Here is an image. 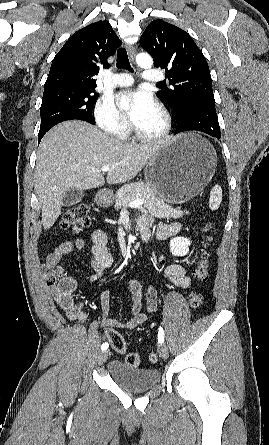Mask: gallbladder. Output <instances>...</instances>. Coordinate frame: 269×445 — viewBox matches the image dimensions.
Listing matches in <instances>:
<instances>
[{
  "mask_svg": "<svg viewBox=\"0 0 269 445\" xmlns=\"http://www.w3.org/2000/svg\"><path fill=\"white\" fill-rule=\"evenodd\" d=\"M84 195L85 193L83 190L69 189L63 197V206L69 207L79 203L83 199Z\"/></svg>",
  "mask_w": 269,
  "mask_h": 445,
  "instance_id": "gallbladder-1",
  "label": "gallbladder"
}]
</instances>
